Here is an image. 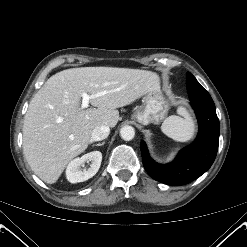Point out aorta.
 Returning <instances> with one entry per match:
<instances>
[{
	"label": "aorta",
	"instance_id": "762f6f07",
	"mask_svg": "<svg viewBox=\"0 0 247 247\" xmlns=\"http://www.w3.org/2000/svg\"><path fill=\"white\" fill-rule=\"evenodd\" d=\"M120 136L123 140L130 141L135 136V130L132 126L126 125V126L121 128Z\"/></svg>",
	"mask_w": 247,
	"mask_h": 247
}]
</instances>
